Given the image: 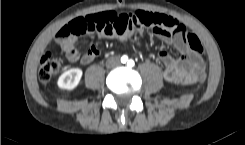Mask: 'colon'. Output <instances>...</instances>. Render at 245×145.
<instances>
[{"instance_id":"1","label":"colon","mask_w":245,"mask_h":145,"mask_svg":"<svg viewBox=\"0 0 245 145\" xmlns=\"http://www.w3.org/2000/svg\"><path fill=\"white\" fill-rule=\"evenodd\" d=\"M166 27L176 35H182L186 38L190 48L195 51L202 50V44L199 39L187 30V28L178 20L172 17L161 16L158 13H141L138 20H135L129 14H120L112 22H108L102 15L89 17L86 23L79 21V17L69 21L58 31L55 46L48 49L42 56L38 75L42 81H48L58 74L61 68V60L56 56V48L61 47V41L68 37H77L84 35L91 29L105 31L112 29L116 33L123 34L128 31L139 29L141 27Z\"/></svg>"}]
</instances>
